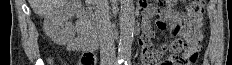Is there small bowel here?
Returning a JSON list of instances; mask_svg holds the SVG:
<instances>
[{
	"mask_svg": "<svg viewBox=\"0 0 232 65\" xmlns=\"http://www.w3.org/2000/svg\"><path fill=\"white\" fill-rule=\"evenodd\" d=\"M144 10V20L143 26L146 32V35L140 40V45L143 48V65H177L171 62H160L157 63L153 57V49L150 44V39L153 36V29L150 25V19L154 14V11L147 7L143 6ZM156 25L161 30L168 29L174 35H185L186 32V20L183 14L178 12L171 13L168 17H163L157 20ZM68 49L70 51H90L88 49V42L79 34V36L73 39L68 44Z\"/></svg>",
	"mask_w": 232,
	"mask_h": 65,
	"instance_id": "small-bowel-1",
	"label": "small bowel"
}]
</instances>
